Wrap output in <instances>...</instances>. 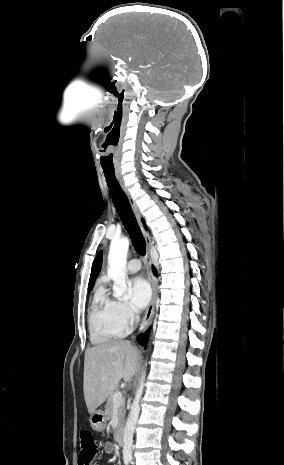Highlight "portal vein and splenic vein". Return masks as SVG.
I'll list each match as a JSON object with an SVG mask.
<instances>
[{
  "label": "portal vein and splenic vein",
  "instance_id": "1",
  "mask_svg": "<svg viewBox=\"0 0 284 465\" xmlns=\"http://www.w3.org/2000/svg\"><path fill=\"white\" fill-rule=\"evenodd\" d=\"M122 403H123V395L121 391H119V393H116V395H114L113 397V407H120Z\"/></svg>",
  "mask_w": 284,
  "mask_h": 465
}]
</instances>
